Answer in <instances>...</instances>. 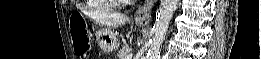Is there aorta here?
<instances>
[{"mask_svg":"<svg viewBox=\"0 0 261 59\" xmlns=\"http://www.w3.org/2000/svg\"><path fill=\"white\" fill-rule=\"evenodd\" d=\"M179 0H161L153 25L147 59H160V50Z\"/></svg>","mask_w":261,"mask_h":59,"instance_id":"obj_1","label":"aorta"}]
</instances>
